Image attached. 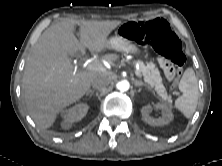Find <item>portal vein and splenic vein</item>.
I'll list each match as a JSON object with an SVG mask.
<instances>
[{
  "label": "portal vein and splenic vein",
  "mask_w": 222,
  "mask_h": 166,
  "mask_svg": "<svg viewBox=\"0 0 222 166\" xmlns=\"http://www.w3.org/2000/svg\"><path fill=\"white\" fill-rule=\"evenodd\" d=\"M86 68L90 71H95V72H105L106 68L104 67V65L102 63H100L99 61H88L86 63ZM135 74L136 76H138L139 78L141 77V73L138 70H135Z\"/></svg>",
  "instance_id": "obj_1"
}]
</instances>
